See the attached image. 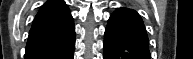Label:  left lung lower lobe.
<instances>
[{"label": "left lung lower lobe", "mask_w": 193, "mask_h": 59, "mask_svg": "<svg viewBox=\"0 0 193 59\" xmlns=\"http://www.w3.org/2000/svg\"><path fill=\"white\" fill-rule=\"evenodd\" d=\"M148 37L139 15L114 12L105 30L104 59H150Z\"/></svg>", "instance_id": "obj_1"}]
</instances>
